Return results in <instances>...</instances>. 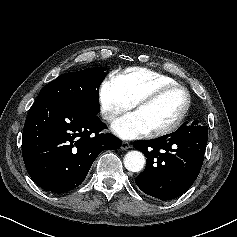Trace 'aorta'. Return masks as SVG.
<instances>
[{
	"label": "aorta",
	"instance_id": "obj_1",
	"mask_svg": "<svg viewBox=\"0 0 237 237\" xmlns=\"http://www.w3.org/2000/svg\"><path fill=\"white\" fill-rule=\"evenodd\" d=\"M124 166L128 171L139 172L145 166V156L139 151H130L124 156Z\"/></svg>",
	"mask_w": 237,
	"mask_h": 237
}]
</instances>
